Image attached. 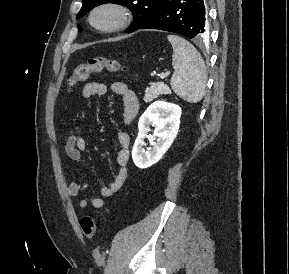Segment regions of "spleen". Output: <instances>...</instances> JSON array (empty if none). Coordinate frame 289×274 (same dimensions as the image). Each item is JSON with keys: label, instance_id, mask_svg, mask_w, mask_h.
I'll list each match as a JSON object with an SVG mask.
<instances>
[{"label": "spleen", "instance_id": "3e777b00", "mask_svg": "<svg viewBox=\"0 0 289 274\" xmlns=\"http://www.w3.org/2000/svg\"><path fill=\"white\" fill-rule=\"evenodd\" d=\"M173 47L170 81L172 90L190 103L199 102L205 93L207 71L200 53L188 41L177 35H168Z\"/></svg>", "mask_w": 289, "mask_h": 274}]
</instances>
